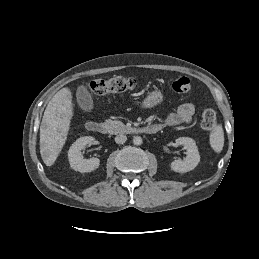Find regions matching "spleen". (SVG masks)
I'll return each mask as SVG.
<instances>
[{
  "label": "spleen",
  "mask_w": 259,
  "mask_h": 259,
  "mask_svg": "<svg viewBox=\"0 0 259 259\" xmlns=\"http://www.w3.org/2000/svg\"><path fill=\"white\" fill-rule=\"evenodd\" d=\"M210 145L212 149L219 153L224 145V132L221 125L216 126L210 133Z\"/></svg>",
  "instance_id": "obj_1"
}]
</instances>
